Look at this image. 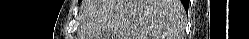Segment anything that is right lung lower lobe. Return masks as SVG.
<instances>
[{
  "label": "right lung lower lobe",
  "instance_id": "1",
  "mask_svg": "<svg viewBox=\"0 0 249 39\" xmlns=\"http://www.w3.org/2000/svg\"><path fill=\"white\" fill-rule=\"evenodd\" d=\"M188 4H189L188 1H183V5H184V7H185L186 10L188 9Z\"/></svg>",
  "mask_w": 249,
  "mask_h": 39
}]
</instances>
